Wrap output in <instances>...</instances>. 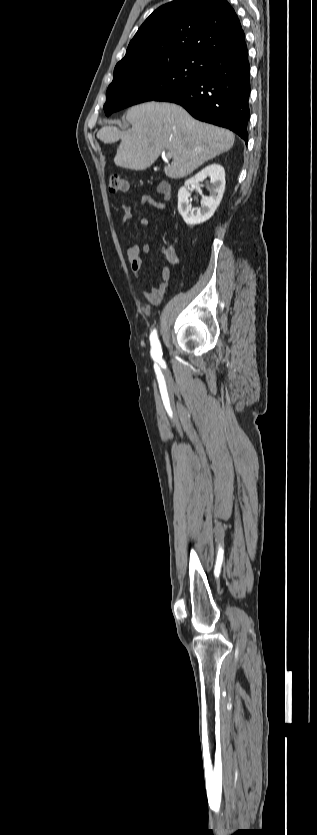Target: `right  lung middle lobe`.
<instances>
[{
	"label": "right lung middle lobe",
	"instance_id": "right-lung-middle-lobe-1",
	"mask_svg": "<svg viewBox=\"0 0 317 835\" xmlns=\"http://www.w3.org/2000/svg\"><path fill=\"white\" fill-rule=\"evenodd\" d=\"M200 60L187 59L114 75L107 89L104 111L107 116L138 103L155 100L163 94L198 78Z\"/></svg>",
	"mask_w": 317,
	"mask_h": 835
}]
</instances>
